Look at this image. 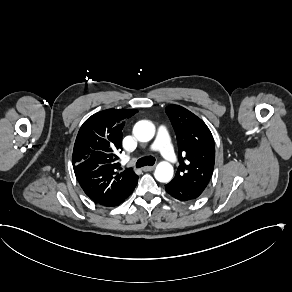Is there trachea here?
<instances>
[{"label": "trachea", "mask_w": 292, "mask_h": 292, "mask_svg": "<svg viewBox=\"0 0 292 292\" xmlns=\"http://www.w3.org/2000/svg\"><path fill=\"white\" fill-rule=\"evenodd\" d=\"M156 159L153 156H145L136 162V167L141 168L143 166H152L155 163Z\"/></svg>", "instance_id": "1"}]
</instances>
